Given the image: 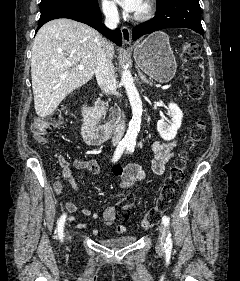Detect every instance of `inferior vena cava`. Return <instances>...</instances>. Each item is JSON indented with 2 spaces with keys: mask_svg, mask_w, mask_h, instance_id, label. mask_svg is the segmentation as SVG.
Returning <instances> with one entry per match:
<instances>
[{
  "mask_svg": "<svg viewBox=\"0 0 240 281\" xmlns=\"http://www.w3.org/2000/svg\"><path fill=\"white\" fill-rule=\"evenodd\" d=\"M103 13L105 15V25L110 29L116 28L119 23L117 7L114 4L106 5L103 7ZM107 44L108 42L104 41L103 47L97 52L95 74L102 91L106 95H113L115 72L114 65L109 57ZM111 116L115 124L112 142L117 144L123 138L125 132L124 113L116 108L112 110Z\"/></svg>",
  "mask_w": 240,
  "mask_h": 281,
  "instance_id": "obj_1",
  "label": "inferior vena cava"
}]
</instances>
